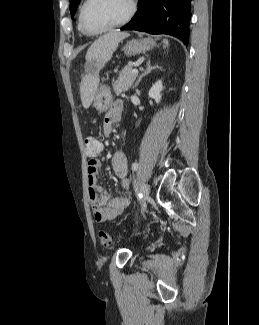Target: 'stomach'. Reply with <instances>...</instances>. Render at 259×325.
<instances>
[{"label":"stomach","mask_w":259,"mask_h":325,"mask_svg":"<svg viewBox=\"0 0 259 325\" xmlns=\"http://www.w3.org/2000/svg\"><path fill=\"white\" fill-rule=\"evenodd\" d=\"M156 45L152 38L133 39L128 41L123 47L127 56H134L152 49ZM112 103V94L110 88L100 86L94 96V107L99 112H106Z\"/></svg>","instance_id":"1"}]
</instances>
